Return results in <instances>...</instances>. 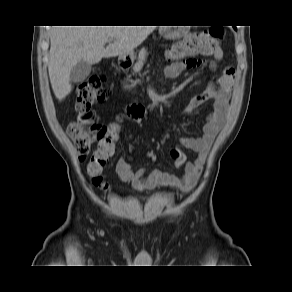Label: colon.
Segmentation results:
<instances>
[{"mask_svg":"<svg viewBox=\"0 0 292 292\" xmlns=\"http://www.w3.org/2000/svg\"><path fill=\"white\" fill-rule=\"evenodd\" d=\"M224 36V30L219 27H211L199 33H193L183 40L173 44L167 51L170 60H181L197 55H211L218 48ZM104 79L94 76L80 84L76 92L77 118L67 127V133L73 140L79 160L87 159L94 143H98L88 161L87 171L92 183L99 188L108 189V183L102 177V171L115 150V143L119 134V125L113 123L103 126L96 121L93 105L104 102L108 96V90L103 86ZM175 158L180 153L173 152ZM149 160L155 162L159 153L155 149L147 152Z\"/></svg>","mask_w":292,"mask_h":292,"instance_id":"obj_1","label":"colon"}]
</instances>
